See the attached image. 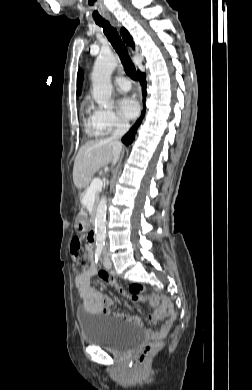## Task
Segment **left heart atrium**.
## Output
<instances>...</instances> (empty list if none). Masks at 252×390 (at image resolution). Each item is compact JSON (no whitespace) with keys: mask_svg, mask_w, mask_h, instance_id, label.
<instances>
[{"mask_svg":"<svg viewBox=\"0 0 252 390\" xmlns=\"http://www.w3.org/2000/svg\"><path fill=\"white\" fill-rule=\"evenodd\" d=\"M140 110L138 101L131 96H125L119 101L120 114L128 120L136 118Z\"/></svg>","mask_w":252,"mask_h":390,"instance_id":"1","label":"left heart atrium"}]
</instances>
